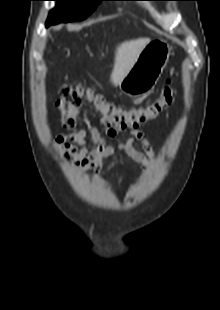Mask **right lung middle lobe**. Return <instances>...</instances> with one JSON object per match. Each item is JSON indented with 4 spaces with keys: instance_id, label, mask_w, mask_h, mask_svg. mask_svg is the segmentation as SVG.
<instances>
[{
    "instance_id": "right-lung-middle-lobe-1",
    "label": "right lung middle lobe",
    "mask_w": 220,
    "mask_h": 310,
    "mask_svg": "<svg viewBox=\"0 0 220 310\" xmlns=\"http://www.w3.org/2000/svg\"><path fill=\"white\" fill-rule=\"evenodd\" d=\"M56 7L50 11L46 26L60 22H71L85 19L102 0H55Z\"/></svg>"
}]
</instances>
